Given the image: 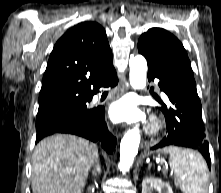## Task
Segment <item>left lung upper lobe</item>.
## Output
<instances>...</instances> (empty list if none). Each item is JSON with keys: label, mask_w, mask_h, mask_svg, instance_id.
Here are the masks:
<instances>
[{"label": "left lung upper lobe", "mask_w": 221, "mask_h": 193, "mask_svg": "<svg viewBox=\"0 0 221 193\" xmlns=\"http://www.w3.org/2000/svg\"><path fill=\"white\" fill-rule=\"evenodd\" d=\"M138 50L157 63L192 70L182 43L162 28H151L142 34Z\"/></svg>", "instance_id": "5c2ea615"}]
</instances>
